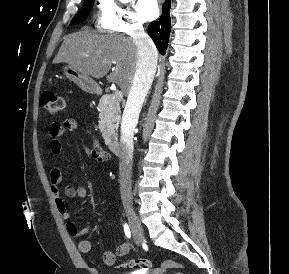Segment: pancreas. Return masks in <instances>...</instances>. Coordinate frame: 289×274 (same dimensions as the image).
<instances>
[{
	"label": "pancreas",
	"instance_id": "cf45deb5",
	"mask_svg": "<svg viewBox=\"0 0 289 274\" xmlns=\"http://www.w3.org/2000/svg\"><path fill=\"white\" fill-rule=\"evenodd\" d=\"M99 113V129L105 142L110 143L112 138L117 136L120 123V100L112 95H103L98 105Z\"/></svg>",
	"mask_w": 289,
	"mask_h": 274
}]
</instances>
